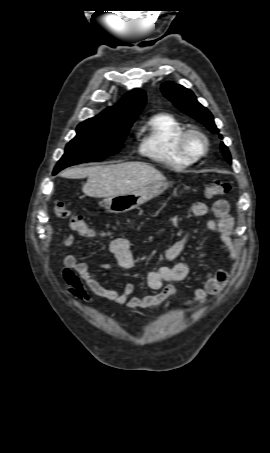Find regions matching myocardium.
Returning a JSON list of instances; mask_svg holds the SVG:
<instances>
[{"mask_svg": "<svg viewBox=\"0 0 270 453\" xmlns=\"http://www.w3.org/2000/svg\"><path fill=\"white\" fill-rule=\"evenodd\" d=\"M193 136L199 137L203 140V149L199 152L191 150L189 147V139ZM177 146L180 152L187 158L196 161L207 155L210 147V142L207 135L198 128H187L184 129L177 139Z\"/></svg>", "mask_w": 270, "mask_h": 453, "instance_id": "1", "label": "myocardium"}]
</instances>
